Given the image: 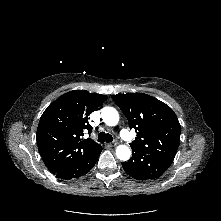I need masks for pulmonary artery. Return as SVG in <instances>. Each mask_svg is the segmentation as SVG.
Here are the masks:
<instances>
[{
    "instance_id": "pulmonary-artery-1",
    "label": "pulmonary artery",
    "mask_w": 221,
    "mask_h": 221,
    "mask_svg": "<svg viewBox=\"0 0 221 221\" xmlns=\"http://www.w3.org/2000/svg\"><path fill=\"white\" fill-rule=\"evenodd\" d=\"M120 135L123 138H128L129 137V132L126 129H122L121 132H120Z\"/></svg>"
}]
</instances>
